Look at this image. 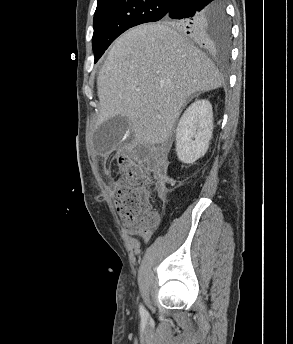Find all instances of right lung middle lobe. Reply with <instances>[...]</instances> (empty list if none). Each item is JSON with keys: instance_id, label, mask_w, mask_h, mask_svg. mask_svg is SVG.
Returning a JSON list of instances; mask_svg holds the SVG:
<instances>
[{"instance_id": "dd1d6c3e", "label": "right lung middle lobe", "mask_w": 293, "mask_h": 344, "mask_svg": "<svg viewBox=\"0 0 293 344\" xmlns=\"http://www.w3.org/2000/svg\"><path fill=\"white\" fill-rule=\"evenodd\" d=\"M173 1L171 0H105L97 3L94 14L92 47L95 63L109 45L124 31L147 22L163 19L175 28L182 29V21L166 18ZM215 10L204 19L207 24L208 45L228 50L230 27L222 0Z\"/></svg>"}]
</instances>
